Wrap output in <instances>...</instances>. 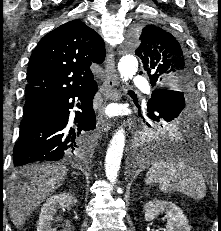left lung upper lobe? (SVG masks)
I'll list each match as a JSON object with an SVG mask.
<instances>
[{
  "mask_svg": "<svg viewBox=\"0 0 221 231\" xmlns=\"http://www.w3.org/2000/svg\"><path fill=\"white\" fill-rule=\"evenodd\" d=\"M136 55L142 60L144 70L153 87L165 86L173 91L175 105L148 101L149 116L156 121L165 114L179 116L185 103L196 102V85L191 57L185 45L166 29L148 24L134 34ZM178 107V108H175Z\"/></svg>",
  "mask_w": 221,
  "mask_h": 231,
  "instance_id": "1",
  "label": "left lung upper lobe"
}]
</instances>
